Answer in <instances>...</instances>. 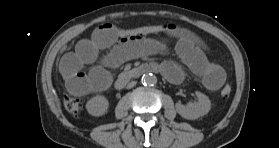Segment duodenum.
Returning <instances> with one entry per match:
<instances>
[{"instance_id":"410a0bca","label":"duodenum","mask_w":279,"mask_h":148,"mask_svg":"<svg viewBox=\"0 0 279 148\" xmlns=\"http://www.w3.org/2000/svg\"><path fill=\"white\" fill-rule=\"evenodd\" d=\"M159 70V65L151 62L143 63L129 72L121 74L114 83L116 90L123 89L127 83L140 78L143 74L156 72Z\"/></svg>"}]
</instances>
